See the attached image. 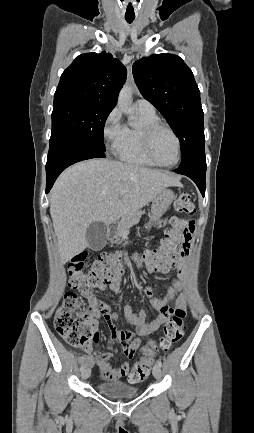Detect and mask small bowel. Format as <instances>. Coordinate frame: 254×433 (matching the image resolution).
Listing matches in <instances>:
<instances>
[{
	"label": "small bowel",
	"instance_id": "1",
	"mask_svg": "<svg viewBox=\"0 0 254 433\" xmlns=\"http://www.w3.org/2000/svg\"><path fill=\"white\" fill-rule=\"evenodd\" d=\"M186 256H179L170 260L157 271L168 273L171 270H176L179 279L184 280L186 277ZM119 285L120 275L99 288L101 290L111 289L117 291ZM178 287L179 282L176 281L165 289L164 295L162 296H155L150 284L145 287L144 293L148 297L152 307L157 311L156 316L150 321L146 320L148 317L146 310L136 311L131 304L127 303L123 312H114L111 311L109 305L99 303L96 300L95 291L83 292L85 298L89 301L93 300L96 302L95 309L97 314L105 322L108 331L120 343L126 360L120 366L112 367L109 363L111 358L110 354L92 351L91 348H88V354L81 357L82 365L87 368L97 365L100 375L104 380L115 381L121 378H128L129 381L133 382L130 374L131 360L133 359L136 350L141 345V337L159 329L175 308L184 309L183 299H177L173 304H171V299ZM120 318H124L128 323L136 326V336L126 329H118L115 326V322ZM98 339L99 333L95 338L94 344L98 343Z\"/></svg>",
	"mask_w": 254,
	"mask_h": 433
}]
</instances>
